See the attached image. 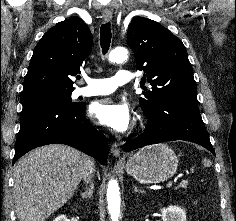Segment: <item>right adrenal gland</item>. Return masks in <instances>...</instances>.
Masks as SVG:
<instances>
[{
	"label": "right adrenal gland",
	"instance_id": "1",
	"mask_svg": "<svg viewBox=\"0 0 236 221\" xmlns=\"http://www.w3.org/2000/svg\"><path fill=\"white\" fill-rule=\"evenodd\" d=\"M94 184L90 182L89 188H86L84 192H81V196L83 199L91 198L93 196Z\"/></svg>",
	"mask_w": 236,
	"mask_h": 221
}]
</instances>
